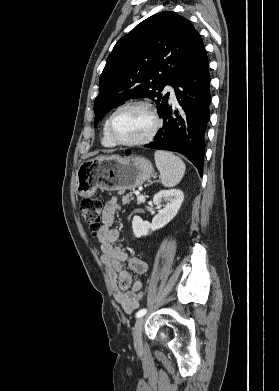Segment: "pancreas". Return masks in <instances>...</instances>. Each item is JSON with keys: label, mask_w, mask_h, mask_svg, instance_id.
Returning a JSON list of instances; mask_svg holds the SVG:
<instances>
[{"label": "pancreas", "mask_w": 279, "mask_h": 391, "mask_svg": "<svg viewBox=\"0 0 279 391\" xmlns=\"http://www.w3.org/2000/svg\"><path fill=\"white\" fill-rule=\"evenodd\" d=\"M123 194V192L122 191H119L118 192V195H122ZM130 200H133V195H132V193L130 192V193H128V194H126L125 196H123V198H122V202H123V204H127V203H129L130 202Z\"/></svg>", "instance_id": "1"}]
</instances>
